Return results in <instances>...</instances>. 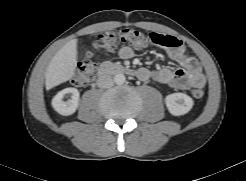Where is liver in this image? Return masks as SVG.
<instances>
[{"label": "liver", "mask_w": 246, "mask_h": 181, "mask_svg": "<svg viewBox=\"0 0 246 181\" xmlns=\"http://www.w3.org/2000/svg\"><path fill=\"white\" fill-rule=\"evenodd\" d=\"M77 39L67 42L52 58L45 73L46 90L73 78L77 65Z\"/></svg>", "instance_id": "1"}]
</instances>
